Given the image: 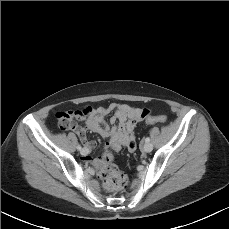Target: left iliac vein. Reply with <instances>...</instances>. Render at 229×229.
Returning a JSON list of instances; mask_svg holds the SVG:
<instances>
[{
    "label": "left iliac vein",
    "instance_id": "obj_1",
    "mask_svg": "<svg viewBox=\"0 0 229 229\" xmlns=\"http://www.w3.org/2000/svg\"><path fill=\"white\" fill-rule=\"evenodd\" d=\"M143 149L145 152H151L153 150V145L151 143L147 142L144 144Z\"/></svg>",
    "mask_w": 229,
    "mask_h": 229
}]
</instances>
